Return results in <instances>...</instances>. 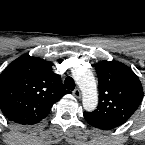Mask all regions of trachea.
Here are the masks:
<instances>
[{
  "label": "trachea",
  "instance_id": "trachea-1",
  "mask_svg": "<svg viewBox=\"0 0 145 145\" xmlns=\"http://www.w3.org/2000/svg\"><path fill=\"white\" fill-rule=\"evenodd\" d=\"M64 86L66 89L74 90L75 89V82L72 77H67L64 81Z\"/></svg>",
  "mask_w": 145,
  "mask_h": 145
}]
</instances>
